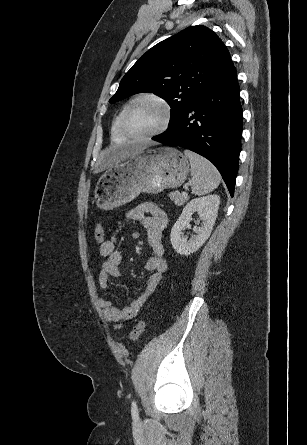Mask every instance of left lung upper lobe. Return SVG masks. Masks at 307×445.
<instances>
[{
  "label": "left lung upper lobe",
  "instance_id": "5c2ea615",
  "mask_svg": "<svg viewBox=\"0 0 307 445\" xmlns=\"http://www.w3.org/2000/svg\"><path fill=\"white\" fill-rule=\"evenodd\" d=\"M231 64L227 48L212 30L188 27L149 49L122 78L109 102L152 92L170 105V128Z\"/></svg>",
  "mask_w": 307,
  "mask_h": 445
}]
</instances>
